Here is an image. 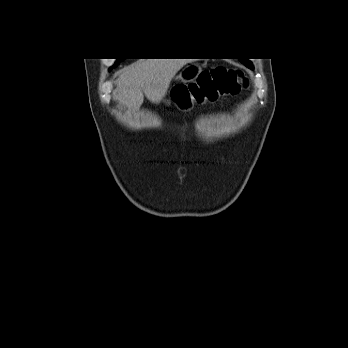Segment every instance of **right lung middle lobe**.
<instances>
[{
    "instance_id": "dd1d6c3e",
    "label": "right lung middle lobe",
    "mask_w": 348,
    "mask_h": 348,
    "mask_svg": "<svg viewBox=\"0 0 348 348\" xmlns=\"http://www.w3.org/2000/svg\"><path fill=\"white\" fill-rule=\"evenodd\" d=\"M123 59H118V61H117V63H116V65L120 62V61H122Z\"/></svg>"
}]
</instances>
